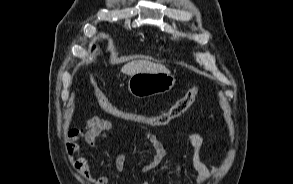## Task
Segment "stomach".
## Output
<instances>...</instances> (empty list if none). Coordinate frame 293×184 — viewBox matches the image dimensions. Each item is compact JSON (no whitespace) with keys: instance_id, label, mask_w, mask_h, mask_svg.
<instances>
[{"instance_id":"0dacf381","label":"stomach","mask_w":293,"mask_h":184,"mask_svg":"<svg viewBox=\"0 0 293 184\" xmlns=\"http://www.w3.org/2000/svg\"><path fill=\"white\" fill-rule=\"evenodd\" d=\"M175 81L170 72H139L130 76L128 91L136 98L151 97L169 92L175 85Z\"/></svg>"}]
</instances>
